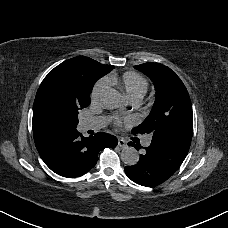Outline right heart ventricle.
I'll return each instance as SVG.
<instances>
[{"label": "right heart ventricle", "mask_w": 228, "mask_h": 228, "mask_svg": "<svg viewBox=\"0 0 228 228\" xmlns=\"http://www.w3.org/2000/svg\"><path fill=\"white\" fill-rule=\"evenodd\" d=\"M103 80L109 87L108 92L112 91L119 94V91L131 101L136 99L138 102L148 90L147 79L133 71H128L121 75L110 73L105 75Z\"/></svg>", "instance_id": "right-heart-ventricle-1"}]
</instances>
